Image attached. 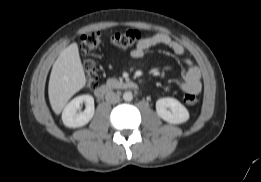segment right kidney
<instances>
[{
  "label": "right kidney",
  "instance_id": "ca27d5eb",
  "mask_svg": "<svg viewBox=\"0 0 261 182\" xmlns=\"http://www.w3.org/2000/svg\"><path fill=\"white\" fill-rule=\"evenodd\" d=\"M82 103L86 105L83 112L78 111ZM94 111V98L91 95H81L66 105L62 112V121L69 128L82 127L93 118Z\"/></svg>",
  "mask_w": 261,
  "mask_h": 182
}]
</instances>
